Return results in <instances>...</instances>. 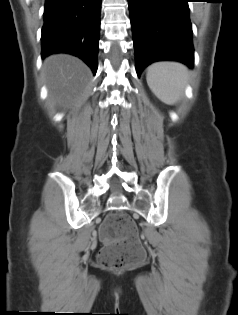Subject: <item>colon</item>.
I'll return each mask as SVG.
<instances>
[{"label":"colon","mask_w":238,"mask_h":315,"mask_svg":"<svg viewBox=\"0 0 238 315\" xmlns=\"http://www.w3.org/2000/svg\"><path fill=\"white\" fill-rule=\"evenodd\" d=\"M105 247L99 253V262L108 268L123 269L140 264L145 251L132 219L123 212L110 213L100 227Z\"/></svg>","instance_id":"1"}]
</instances>
